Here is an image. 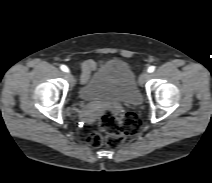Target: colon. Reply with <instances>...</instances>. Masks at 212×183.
Listing matches in <instances>:
<instances>
[{
    "label": "colon",
    "mask_w": 212,
    "mask_h": 183,
    "mask_svg": "<svg viewBox=\"0 0 212 183\" xmlns=\"http://www.w3.org/2000/svg\"><path fill=\"white\" fill-rule=\"evenodd\" d=\"M100 132H93L88 135L87 142L98 148L103 143L111 148L121 146L129 137L136 135L142 126L141 119L136 113L127 112L119 115L112 109H106L97 120Z\"/></svg>",
    "instance_id": "obj_1"
}]
</instances>
